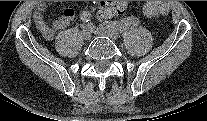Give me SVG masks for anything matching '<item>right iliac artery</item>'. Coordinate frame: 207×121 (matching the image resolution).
<instances>
[{"label":"right iliac artery","instance_id":"82829eb1","mask_svg":"<svg viewBox=\"0 0 207 121\" xmlns=\"http://www.w3.org/2000/svg\"><path fill=\"white\" fill-rule=\"evenodd\" d=\"M82 22L85 23V26H91L90 25V20H91V14L89 12H82L81 16H80Z\"/></svg>","mask_w":207,"mask_h":121}]
</instances>
